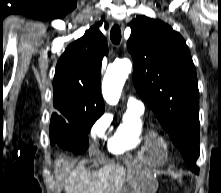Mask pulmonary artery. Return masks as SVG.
<instances>
[{"mask_svg":"<svg viewBox=\"0 0 221 193\" xmlns=\"http://www.w3.org/2000/svg\"><path fill=\"white\" fill-rule=\"evenodd\" d=\"M127 107L133 111L142 112L144 109V104L142 101L135 97H129Z\"/></svg>","mask_w":221,"mask_h":193,"instance_id":"e3ab8cb5","label":"pulmonary artery"}]
</instances>
